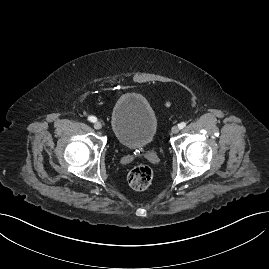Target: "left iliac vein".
Here are the masks:
<instances>
[{
	"label": "left iliac vein",
	"instance_id": "obj_1",
	"mask_svg": "<svg viewBox=\"0 0 269 269\" xmlns=\"http://www.w3.org/2000/svg\"><path fill=\"white\" fill-rule=\"evenodd\" d=\"M171 131H172L173 134H176V133L179 132V127L175 125V126L172 127Z\"/></svg>",
	"mask_w": 269,
	"mask_h": 269
}]
</instances>
